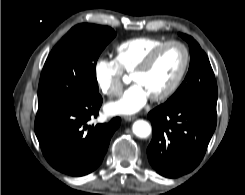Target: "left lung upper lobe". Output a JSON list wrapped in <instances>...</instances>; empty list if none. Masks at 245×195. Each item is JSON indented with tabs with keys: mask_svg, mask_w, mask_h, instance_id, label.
<instances>
[{
	"mask_svg": "<svg viewBox=\"0 0 245 195\" xmlns=\"http://www.w3.org/2000/svg\"><path fill=\"white\" fill-rule=\"evenodd\" d=\"M179 35L189 44L190 67L184 82L167 102L216 106L217 84L207 55L191 36Z\"/></svg>",
	"mask_w": 245,
	"mask_h": 195,
	"instance_id": "5c2ea615",
	"label": "left lung upper lobe"
}]
</instances>
